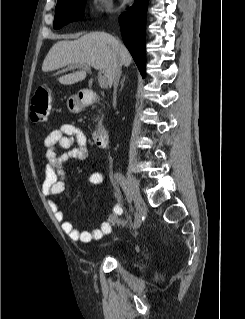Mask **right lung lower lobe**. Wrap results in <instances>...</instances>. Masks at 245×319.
Segmentation results:
<instances>
[{"label":"right lung lower lobe","mask_w":245,"mask_h":319,"mask_svg":"<svg viewBox=\"0 0 245 319\" xmlns=\"http://www.w3.org/2000/svg\"><path fill=\"white\" fill-rule=\"evenodd\" d=\"M148 0H135L119 17L123 42L131 53L140 73L145 77V23Z\"/></svg>","instance_id":"98d812e1"}]
</instances>
